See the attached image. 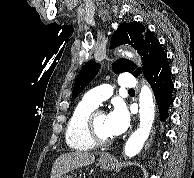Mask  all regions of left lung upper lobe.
Here are the masks:
<instances>
[{
  "mask_svg": "<svg viewBox=\"0 0 194 178\" xmlns=\"http://www.w3.org/2000/svg\"><path fill=\"white\" fill-rule=\"evenodd\" d=\"M122 44H130L138 50L144 62L145 76L166 56L158 39L143 24L136 21L122 23L114 32L111 38L110 49ZM99 68L100 65L94 61H90L83 66L74 84L73 98L77 97L91 82ZM112 69L116 74L127 71L135 77L139 75L137 66L127 59H118L114 62Z\"/></svg>",
  "mask_w": 194,
  "mask_h": 178,
  "instance_id": "5c2ea615",
  "label": "left lung upper lobe"
}]
</instances>
